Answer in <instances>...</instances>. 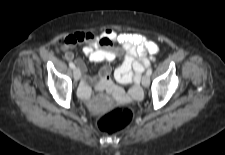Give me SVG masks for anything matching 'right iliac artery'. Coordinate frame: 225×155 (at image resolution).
Returning <instances> with one entry per match:
<instances>
[{"label": "right iliac artery", "mask_w": 225, "mask_h": 155, "mask_svg": "<svg viewBox=\"0 0 225 155\" xmlns=\"http://www.w3.org/2000/svg\"><path fill=\"white\" fill-rule=\"evenodd\" d=\"M69 67H70L71 69H74V68H75L74 63H73V62H70V63H69Z\"/></svg>", "instance_id": "82829eb1"}]
</instances>
